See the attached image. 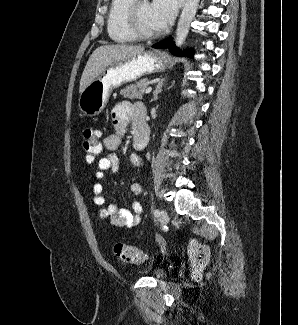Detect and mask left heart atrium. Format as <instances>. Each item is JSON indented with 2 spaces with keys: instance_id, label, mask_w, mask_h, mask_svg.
<instances>
[{
  "instance_id": "left-heart-atrium-1",
  "label": "left heart atrium",
  "mask_w": 298,
  "mask_h": 325,
  "mask_svg": "<svg viewBox=\"0 0 298 325\" xmlns=\"http://www.w3.org/2000/svg\"><path fill=\"white\" fill-rule=\"evenodd\" d=\"M154 11L159 26L164 30L173 22L176 16V3L174 0H156L154 2Z\"/></svg>"
}]
</instances>
